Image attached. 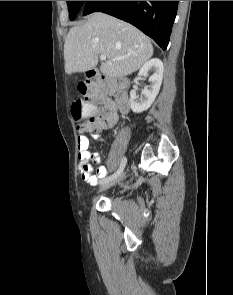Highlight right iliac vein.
Listing matches in <instances>:
<instances>
[{
    "label": "right iliac vein",
    "mask_w": 233,
    "mask_h": 295,
    "mask_svg": "<svg viewBox=\"0 0 233 295\" xmlns=\"http://www.w3.org/2000/svg\"><path fill=\"white\" fill-rule=\"evenodd\" d=\"M123 176H124V172L111 180H108L107 178L102 179L100 181L99 191H104V190L114 186L123 178Z\"/></svg>",
    "instance_id": "obj_1"
}]
</instances>
